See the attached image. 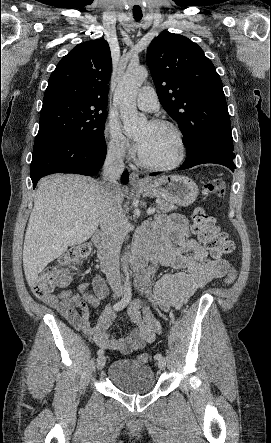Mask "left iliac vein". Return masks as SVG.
Returning <instances> with one entry per match:
<instances>
[{
  "label": "left iliac vein",
  "mask_w": 271,
  "mask_h": 443,
  "mask_svg": "<svg viewBox=\"0 0 271 443\" xmlns=\"http://www.w3.org/2000/svg\"><path fill=\"white\" fill-rule=\"evenodd\" d=\"M158 367L161 369V370H165V368H166V359L165 358H161V359H159V361H158Z\"/></svg>",
  "instance_id": "4c4485c4"
}]
</instances>
